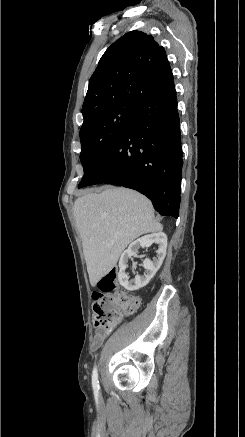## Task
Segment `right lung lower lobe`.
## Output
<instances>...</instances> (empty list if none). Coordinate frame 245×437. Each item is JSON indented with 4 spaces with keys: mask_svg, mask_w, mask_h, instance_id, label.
<instances>
[{
    "mask_svg": "<svg viewBox=\"0 0 245 437\" xmlns=\"http://www.w3.org/2000/svg\"><path fill=\"white\" fill-rule=\"evenodd\" d=\"M182 165L174 91L137 104L118 143L79 188L106 183L135 189L148 197L161 215L178 218Z\"/></svg>",
    "mask_w": 245,
    "mask_h": 437,
    "instance_id": "obj_1",
    "label": "right lung lower lobe"
}]
</instances>
